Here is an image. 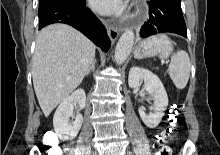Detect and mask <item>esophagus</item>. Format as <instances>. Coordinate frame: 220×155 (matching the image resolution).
<instances>
[{
	"instance_id": "34e87169",
	"label": "esophagus",
	"mask_w": 220,
	"mask_h": 155,
	"mask_svg": "<svg viewBox=\"0 0 220 155\" xmlns=\"http://www.w3.org/2000/svg\"><path fill=\"white\" fill-rule=\"evenodd\" d=\"M120 33V29L110 26L108 29V34L112 42H115Z\"/></svg>"
}]
</instances>
